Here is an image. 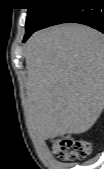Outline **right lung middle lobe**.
<instances>
[{
	"mask_svg": "<svg viewBox=\"0 0 104 169\" xmlns=\"http://www.w3.org/2000/svg\"><path fill=\"white\" fill-rule=\"evenodd\" d=\"M26 34L37 29L56 8L55 0H28Z\"/></svg>",
	"mask_w": 104,
	"mask_h": 169,
	"instance_id": "right-lung-middle-lobe-1",
	"label": "right lung middle lobe"
}]
</instances>
